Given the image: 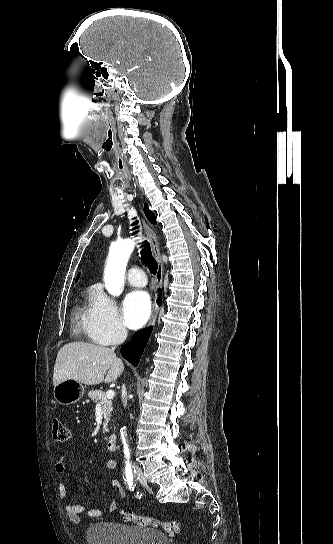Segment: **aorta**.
I'll return each instance as SVG.
<instances>
[{"mask_svg": "<svg viewBox=\"0 0 333 544\" xmlns=\"http://www.w3.org/2000/svg\"><path fill=\"white\" fill-rule=\"evenodd\" d=\"M134 242L126 239L111 246L104 273L105 287L109 294L119 296L123 291L124 274L128 259L133 252ZM125 452L127 445L124 443Z\"/></svg>", "mask_w": 333, "mask_h": 544, "instance_id": "762f6f07", "label": "aorta"}]
</instances>
